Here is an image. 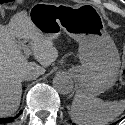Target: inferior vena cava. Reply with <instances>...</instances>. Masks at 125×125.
<instances>
[{"label": "inferior vena cava", "instance_id": "1", "mask_svg": "<svg viewBox=\"0 0 125 125\" xmlns=\"http://www.w3.org/2000/svg\"><path fill=\"white\" fill-rule=\"evenodd\" d=\"M38 77V74L35 72H29L24 75H22V80L23 81H29V80H34Z\"/></svg>", "mask_w": 125, "mask_h": 125}]
</instances>
